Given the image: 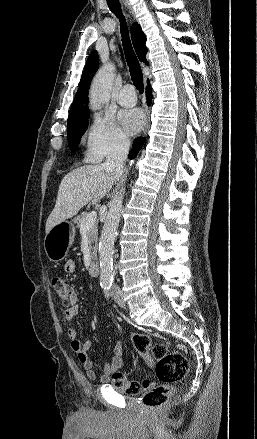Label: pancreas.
I'll return each instance as SVG.
<instances>
[{"instance_id":"pancreas-1","label":"pancreas","mask_w":257,"mask_h":439,"mask_svg":"<svg viewBox=\"0 0 257 439\" xmlns=\"http://www.w3.org/2000/svg\"><path fill=\"white\" fill-rule=\"evenodd\" d=\"M89 215L88 212H82L77 217L73 219V222L77 225V228L81 229V222L83 219H85ZM88 239H89V245L90 250L93 251V254L96 252V246H93V243L97 242L98 238V230H97V223L95 222L92 227H90L87 231Z\"/></svg>"}]
</instances>
